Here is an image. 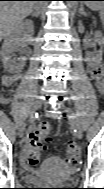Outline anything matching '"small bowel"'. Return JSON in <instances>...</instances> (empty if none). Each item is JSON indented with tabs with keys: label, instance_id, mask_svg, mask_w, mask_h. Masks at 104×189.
Wrapping results in <instances>:
<instances>
[{
	"label": "small bowel",
	"instance_id": "1",
	"mask_svg": "<svg viewBox=\"0 0 104 189\" xmlns=\"http://www.w3.org/2000/svg\"><path fill=\"white\" fill-rule=\"evenodd\" d=\"M96 68H98V67H96ZM96 68H94L91 71V77H92V79H93V81L95 83L96 88L98 90H102L103 89L102 74L100 76L96 75L94 73V71L96 70ZM19 77H20L19 74L5 75V76L2 77L1 81H2V84L4 86L10 87V86H12L19 79ZM8 101H9L8 98H3V103H7ZM32 134H33L32 131H30L29 134H28V137H27V140H26V144H25L24 149H23V155L24 156L26 155V153L28 151Z\"/></svg>",
	"mask_w": 104,
	"mask_h": 189
}]
</instances>
